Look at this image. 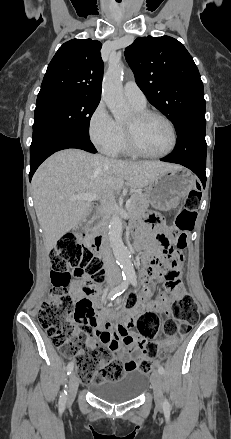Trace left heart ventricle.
<instances>
[{
  "instance_id": "b2bd125f",
  "label": "left heart ventricle",
  "mask_w": 231,
  "mask_h": 439,
  "mask_svg": "<svg viewBox=\"0 0 231 439\" xmlns=\"http://www.w3.org/2000/svg\"><path fill=\"white\" fill-rule=\"evenodd\" d=\"M126 125L133 127L137 144L147 153H162L171 145L170 128L158 117L151 116L143 121L136 122L134 114Z\"/></svg>"
}]
</instances>
